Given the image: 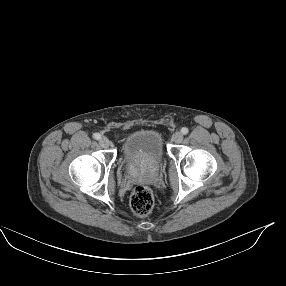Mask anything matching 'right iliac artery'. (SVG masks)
Segmentation results:
<instances>
[{
	"instance_id": "obj_1",
	"label": "right iliac artery",
	"mask_w": 286,
	"mask_h": 286,
	"mask_svg": "<svg viewBox=\"0 0 286 286\" xmlns=\"http://www.w3.org/2000/svg\"><path fill=\"white\" fill-rule=\"evenodd\" d=\"M94 138H95L96 140H99V139L101 138V135H100L99 133H95V134H94Z\"/></svg>"
}]
</instances>
